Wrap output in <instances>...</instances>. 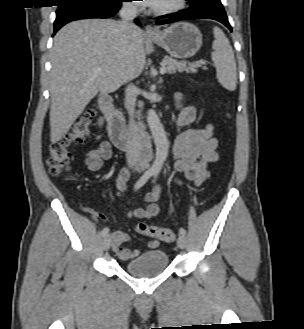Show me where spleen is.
<instances>
[{
    "label": "spleen",
    "mask_w": 304,
    "mask_h": 329,
    "mask_svg": "<svg viewBox=\"0 0 304 329\" xmlns=\"http://www.w3.org/2000/svg\"><path fill=\"white\" fill-rule=\"evenodd\" d=\"M215 41L212 48V60L216 66L219 83L227 90L234 91L237 85L236 61L229 40L218 28H213Z\"/></svg>",
    "instance_id": "1"
}]
</instances>
